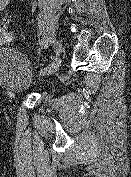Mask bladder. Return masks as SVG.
Listing matches in <instances>:
<instances>
[{
	"label": "bladder",
	"instance_id": "bladder-1",
	"mask_svg": "<svg viewBox=\"0 0 131 177\" xmlns=\"http://www.w3.org/2000/svg\"><path fill=\"white\" fill-rule=\"evenodd\" d=\"M0 82L11 91L27 88L32 82L28 61L13 49H8L0 58Z\"/></svg>",
	"mask_w": 131,
	"mask_h": 177
}]
</instances>
